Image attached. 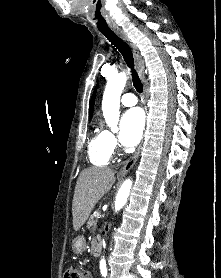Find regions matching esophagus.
<instances>
[{
  "label": "esophagus",
  "instance_id": "esophagus-1",
  "mask_svg": "<svg viewBox=\"0 0 221 278\" xmlns=\"http://www.w3.org/2000/svg\"><path fill=\"white\" fill-rule=\"evenodd\" d=\"M114 32L122 40H124L132 49L133 57H134V61L136 64L138 74H139L141 80L143 81L144 96L146 97L147 96V84L145 82V75H144V61H143L136 45L134 43H132V41L129 39V37L126 35V33H124L120 29H114ZM141 147H142V144L139 145V147L137 148V150L133 154V156L128 161H126V163L122 166V168L119 170V174L125 175L130 171V169L133 167V165L135 164V162L137 161V159L139 157Z\"/></svg>",
  "mask_w": 221,
  "mask_h": 278
}]
</instances>
